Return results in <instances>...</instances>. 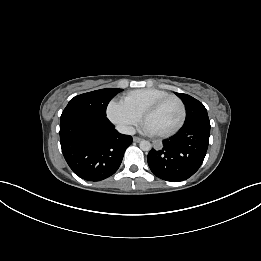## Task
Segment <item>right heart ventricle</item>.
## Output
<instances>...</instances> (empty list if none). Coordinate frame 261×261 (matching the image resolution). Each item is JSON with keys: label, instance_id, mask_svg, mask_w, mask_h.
I'll use <instances>...</instances> for the list:
<instances>
[{"label": "right heart ventricle", "instance_id": "obj_1", "mask_svg": "<svg viewBox=\"0 0 261 261\" xmlns=\"http://www.w3.org/2000/svg\"><path fill=\"white\" fill-rule=\"evenodd\" d=\"M169 95L162 89L146 88L128 92L122 102L133 112L142 116L144 110L156 100Z\"/></svg>", "mask_w": 261, "mask_h": 261}]
</instances>
